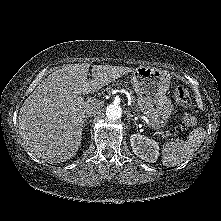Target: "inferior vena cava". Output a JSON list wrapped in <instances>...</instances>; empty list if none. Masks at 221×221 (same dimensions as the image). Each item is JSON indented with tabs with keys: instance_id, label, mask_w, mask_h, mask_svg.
<instances>
[{
	"instance_id": "1",
	"label": "inferior vena cava",
	"mask_w": 221,
	"mask_h": 221,
	"mask_svg": "<svg viewBox=\"0 0 221 221\" xmlns=\"http://www.w3.org/2000/svg\"><path fill=\"white\" fill-rule=\"evenodd\" d=\"M101 104H93L91 106H89L88 108H86L85 112L88 116H91V115H95L96 113H98L101 109Z\"/></svg>"
}]
</instances>
